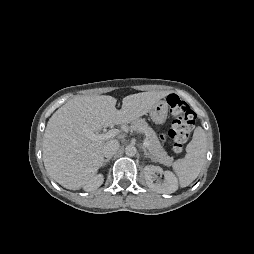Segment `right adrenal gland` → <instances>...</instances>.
<instances>
[{"label":"right adrenal gland","instance_id":"2a0ac1e0","mask_svg":"<svg viewBox=\"0 0 254 254\" xmlns=\"http://www.w3.org/2000/svg\"><path fill=\"white\" fill-rule=\"evenodd\" d=\"M109 161H110V158L105 159V160L103 161V163H102V166H105V164L108 163Z\"/></svg>","mask_w":254,"mask_h":254}]
</instances>
